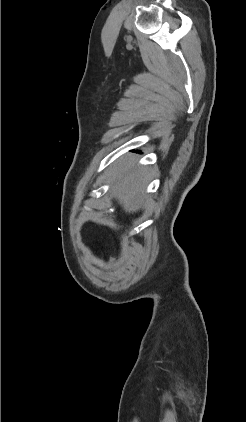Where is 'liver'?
<instances>
[{
	"mask_svg": "<svg viewBox=\"0 0 246 422\" xmlns=\"http://www.w3.org/2000/svg\"><path fill=\"white\" fill-rule=\"evenodd\" d=\"M135 162L133 154L125 155L119 159L112 175V190L128 213L137 212L144 204L151 203L150 198L142 196L151 172L148 168L136 167Z\"/></svg>",
	"mask_w": 246,
	"mask_h": 422,
	"instance_id": "6515ba94",
	"label": "liver"
}]
</instances>
